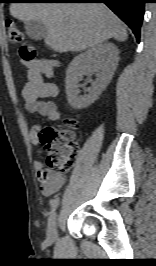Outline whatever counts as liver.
Listing matches in <instances>:
<instances>
[{
    "mask_svg": "<svg viewBox=\"0 0 156 266\" xmlns=\"http://www.w3.org/2000/svg\"><path fill=\"white\" fill-rule=\"evenodd\" d=\"M10 14L25 23L43 22L45 44L60 53L128 37L124 23L103 3H11Z\"/></svg>",
    "mask_w": 156,
    "mask_h": 266,
    "instance_id": "6515ba94",
    "label": "liver"
}]
</instances>
